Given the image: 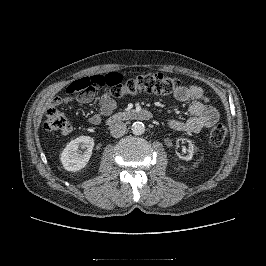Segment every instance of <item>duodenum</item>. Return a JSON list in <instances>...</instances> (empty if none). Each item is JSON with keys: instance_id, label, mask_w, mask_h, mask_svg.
<instances>
[{"instance_id": "410a0bca", "label": "duodenum", "mask_w": 266, "mask_h": 266, "mask_svg": "<svg viewBox=\"0 0 266 266\" xmlns=\"http://www.w3.org/2000/svg\"><path fill=\"white\" fill-rule=\"evenodd\" d=\"M153 115L149 110L146 109H132L118 112L110 116L107 120L109 125H116L126 120H141L146 121L152 119Z\"/></svg>"}]
</instances>
